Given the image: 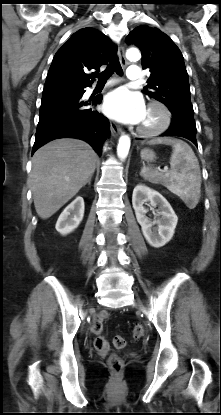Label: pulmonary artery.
Wrapping results in <instances>:
<instances>
[{"label":"pulmonary artery","instance_id":"e3ab8cb5","mask_svg":"<svg viewBox=\"0 0 221 415\" xmlns=\"http://www.w3.org/2000/svg\"><path fill=\"white\" fill-rule=\"evenodd\" d=\"M126 76L129 80L135 81L138 80L141 76V70L136 65H131L127 68Z\"/></svg>","mask_w":221,"mask_h":415}]
</instances>
